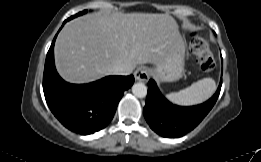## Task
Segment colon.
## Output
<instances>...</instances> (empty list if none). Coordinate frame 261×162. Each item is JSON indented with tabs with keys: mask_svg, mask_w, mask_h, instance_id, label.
Listing matches in <instances>:
<instances>
[{
	"mask_svg": "<svg viewBox=\"0 0 261 162\" xmlns=\"http://www.w3.org/2000/svg\"><path fill=\"white\" fill-rule=\"evenodd\" d=\"M190 48L196 55L197 61L203 71H212L215 67V59L210 50L209 43L201 36H192Z\"/></svg>",
	"mask_w": 261,
	"mask_h": 162,
	"instance_id": "1",
	"label": "colon"
}]
</instances>
